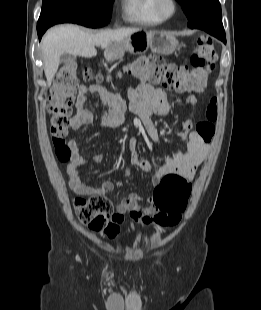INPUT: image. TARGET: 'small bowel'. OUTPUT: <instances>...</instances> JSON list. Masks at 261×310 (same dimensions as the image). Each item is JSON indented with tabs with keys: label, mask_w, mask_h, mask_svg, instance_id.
<instances>
[{
	"label": "small bowel",
	"mask_w": 261,
	"mask_h": 310,
	"mask_svg": "<svg viewBox=\"0 0 261 310\" xmlns=\"http://www.w3.org/2000/svg\"><path fill=\"white\" fill-rule=\"evenodd\" d=\"M89 95L98 96L103 105L114 109V117L103 119V125L105 127L112 126L125 109V100L120 93L96 85L82 84L78 88L75 104L76 112L70 119V127L73 130H77L80 126L89 125L93 122V113L86 106ZM128 98L131 111L138 117L152 140L157 142L158 133L151 116L153 113L166 115L169 112L170 103L166 99L164 92L160 89H154L148 83L142 82L136 89H130L128 91ZM197 102L198 99L195 95H189L187 97L188 104L195 105ZM177 135L186 142L185 150L175 152L166 157L164 164L159 166L155 172L153 178L154 184H158L169 173H178L190 181L194 178L198 167L206 158L210 140H205L196 130H193V122L191 120H185L182 123V130ZM67 146L71 153L67 165L70 189L74 193L81 195L109 194L114 188L111 181L106 180L99 187H91L81 179L79 169L87 163V160L80 154L78 144L75 140H69ZM128 146L133 165L143 171H151L154 168L151 161L139 157L137 140L135 138L129 140ZM92 160L94 162H101L102 156L99 154L93 155ZM128 174L129 171L126 170V175ZM140 201L141 197L139 194L131 193L118 203L116 214L121 218V221L123 220V215L129 213L130 217L136 222L143 224L154 222V217L159 213V209L153 204L152 200L147 207H141Z\"/></svg>",
	"instance_id": "obj_1"
}]
</instances>
